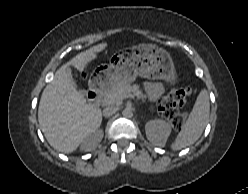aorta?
<instances>
[{
    "mask_svg": "<svg viewBox=\"0 0 248 194\" xmlns=\"http://www.w3.org/2000/svg\"><path fill=\"white\" fill-rule=\"evenodd\" d=\"M122 115L126 118H130L133 116V111L131 108L126 107L123 111H122Z\"/></svg>",
    "mask_w": 248,
    "mask_h": 194,
    "instance_id": "762f6f07",
    "label": "aorta"
}]
</instances>
